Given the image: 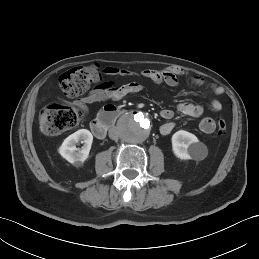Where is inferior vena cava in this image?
Returning a JSON list of instances; mask_svg holds the SVG:
<instances>
[{
    "label": "inferior vena cava",
    "instance_id": "obj_1",
    "mask_svg": "<svg viewBox=\"0 0 259 259\" xmlns=\"http://www.w3.org/2000/svg\"><path fill=\"white\" fill-rule=\"evenodd\" d=\"M109 137L113 140H117L119 137L118 130L116 128H112L109 130Z\"/></svg>",
    "mask_w": 259,
    "mask_h": 259
}]
</instances>
